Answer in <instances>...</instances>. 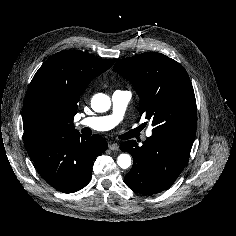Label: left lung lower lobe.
<instances>
[{"label": "left lung lower lobe", "instance_id": "0a47b994", "mask_svg": "<svg viewBox=\"0 0 236 236\" xmlns=\"http://www.w3.org/2000/svg\"><path fill=\"white\" fill-rule=\"evenodd\" d=\"M192 139L172 135H152L141 146L126 141L122 151L131 153L134 163L125 176L127 186L142 195L168 189L187 164Z\"/></svg>", "mask_w": 236, "mask_h": 236}]
</instances>
